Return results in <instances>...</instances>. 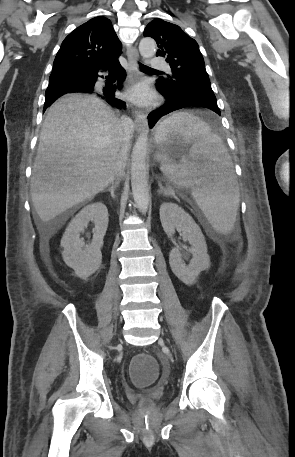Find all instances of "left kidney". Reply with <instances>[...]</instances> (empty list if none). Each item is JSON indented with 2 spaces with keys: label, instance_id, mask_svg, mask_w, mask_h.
I'll list each match as a JSON object with an SVG mask.
<instances>
[{
  "label": "left kidney",
  "instance_id": "left-kidney-1",
  "mask_svg": "<svg viewBox=\"0 0 295 457\" xmlns=\"http://www.w3.org/2000/svg\"><path fill=\"white\" fill-rule=\"evenodd\" d=\"M160 220L169 238L174 235L175 229H179L183 239L191 244L189 251L192 254V260L187 266L183 264L180 251L176 247L169 254V263L173 273L183 283L194 284L200 272L206 270L210 265L207 245L200 227L183 208L175 203L161 205Z\"/></svg>",
  "mask_w": 295,
  "mask_h": 457
}]
</instances>
